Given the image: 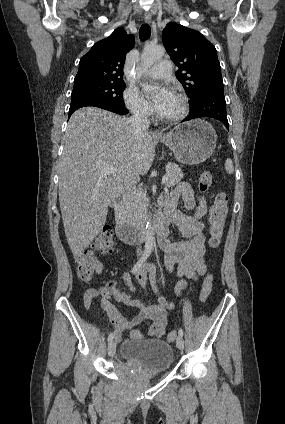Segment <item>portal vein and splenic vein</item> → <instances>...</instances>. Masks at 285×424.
<instances>
[{
	"mask_svg": "<svg viewBox=\"0 0 285 424\" xmlns=\"http://www.w3.org/2000/svg\"><path fill=\"white\" fill-rule=\"evenodd\" d=\"M117 172L116 168L113 167H105L101 170V175L102 176H106L109 174H115ZM167 181V175H164L162 178V184H165V182Z\"/></svg>",
	"mask_w": 285,
	"mask_h": 424,
	"instance_id": "1",
	"label": "portal vein and splenic vein"
}]
</instances>
